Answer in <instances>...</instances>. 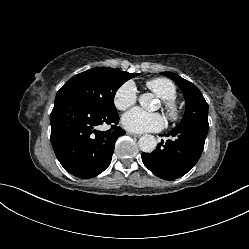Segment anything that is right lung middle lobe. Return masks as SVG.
<instances>
[{"mask_svg": "<svg viewBox=\"0 0 249 249\" xmlns=\"http://www.w3.org/2000/svg\"><path fill=\"white\" fill-rule=\"evenodd\" d=\"M138 75L107 67L92 68L68 80L56 96H71L94 110L115 112L113 100L116 91L127 80Z\"/></svg>", "mask_w": 249, "mask_h": 249, "instance_id": "right-lung-middle-lobe-1", "label": "right lung middle lobe"}]
</instances>
